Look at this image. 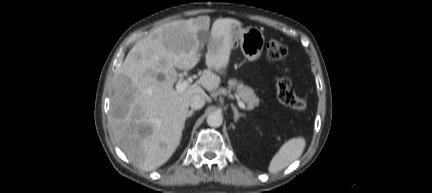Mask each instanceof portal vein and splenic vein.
Segmentation results:
<instances>
[{"instance_id": "portal-vein-and-splenic-vein-1", "label": "portal vein and splenic vein", "mask_w": 432, "mask_h": 193, "mask_svg": "<svg viewBox=\"0 0 432 193\" xmlns=\"http://www.w3.org/2000/svg\"><path fill=\"white\" fill-rule=\"evenodd\" d=\"M192 81H193V78L192 77H188V79H186V80L177 82L176 85H175L176 91L177 92L184 91L189 86V84L192 83ZM237 103H238V106L241 109H246L245 104L241 100L238 99Z\"/></svg>"}]
</instances>
